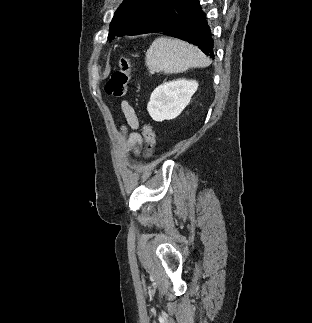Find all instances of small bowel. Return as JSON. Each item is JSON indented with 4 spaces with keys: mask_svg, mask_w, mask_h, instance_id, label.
<instances>
[{
    "mask_svg": "<svg viewBox=\"0 0 312 323\" xmlns=\"http://www.w3.org/2000/svg\"><path fill=\"white\" fill-rule=\"evenodd\" d=\"M123 124L120 128V147L122 151H137L142 145V138L137 132L139 121L134 108L126 100L120 104Z\"/></svg>",
    "mask_w": 312,
    "mask_h": 323,
    "instance_id": "obj_1",
    "label": "small bowel"
}]
</instances>
